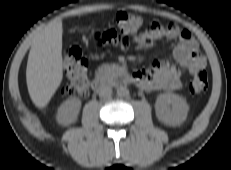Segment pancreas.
<instances>
[{
  "label": "pancreas",
  "instance_id": "pancreas-1",
  "mask_svg": "<svg viewBox=\"0 0 231 170\" xmlns=\"http://www.w3.org/2000/svg\"><path fill=\"white\" fill-rule=\"evenodd\" d=\"M114 69H115L114 65L104 64L98 68L97 75L108 77L113 73Z\"/></svg>",
  "mask_w": 231,
  "mask_h": 170
}]
</instances>
